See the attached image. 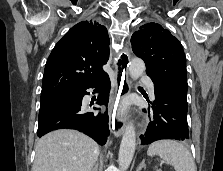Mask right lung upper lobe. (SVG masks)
<instances>
[{"label": "right lung upper lobe", "mask_w": 223, "mask_h": 171, "mask_svg": "<svg viewBox=\"0 0 223 171\" xmlns=\"http://www.w3.org/2000/svg\"><path fill=\"white\" fill-rule=\"evenodd\" d=\"M109 59V36L96 21L73 26L55 45L46 62L41 98L81 89L104 74Z\"/></svg>", "instance_id": "1"}]
</instances>
